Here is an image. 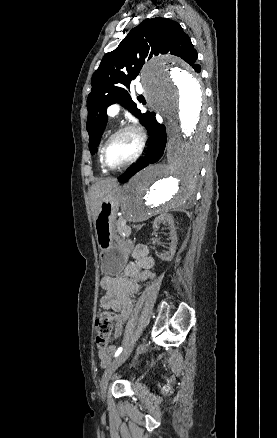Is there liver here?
Listing matches in <instances>:
<instances>
[{"label":"liver","mask_w":277,"mask_h":438,"mask_svg":"<svg viewBox=\"0 0 277 438\" xmlns=\"http://www.w3.org/2000/svg\"><path fill=\"white\" fill-rule=\"evenodd\" d=\"M116 186V180H107V182H101V184H93V186H91L92 210L94 220H96L98 216L100 202H102L104 194H108V192H111V190H113V188H116Z\"/></svg>","instance_id":"1"}]
</instances>
